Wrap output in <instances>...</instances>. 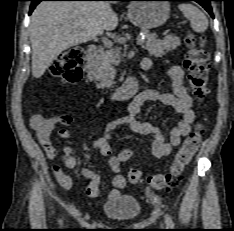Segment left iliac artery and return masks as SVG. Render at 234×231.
<instances>
[{
	"mask_svg": "<svg viewBox=\"0 0 234 231\" xmlns=\"http://www.w3.org/2000/svg\"><path fill=\"white\" fill-rule=\"evenodd\" d=\"M165 221H166L167 228H169V229H173L174 228V223H173L172 218H171L170 215L167 214L165 216Z\"/></svg>",
	"mask_w": 234,
	"mask_h": 231,
	"instance_id": "1",
	"label": "left iliac artery"
}]
</instances>
